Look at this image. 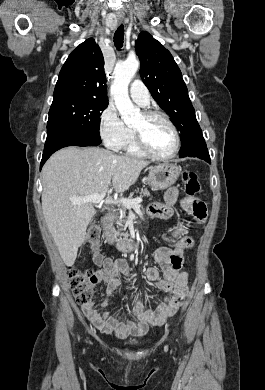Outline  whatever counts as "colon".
Instances as JSON below:
<instances>
[{"label":"colon","instance_id":"5ec220e1","mask_svg":"<svg viewBox=\"0 0 265 390\" xmlns=\"http://www.w3.org/2000/svg\"><path fill=\"white\" fill-rule=\"evenodd\" d=\"M182 180L184 190L187 195L195 196L200 191V182L195 173L192 172H183ZM100 240V227L97 224H92L86 234V242L92 248H97ZM99 256L95 257V261ZM69 280L71 285L72 293L75 297L76 302L85 306L91 303L94 286L96 284V276L92 273L91 270H81L78 268H70Z\"/></svg>","mask_w":265,"mask_h":390}]
</instances>
